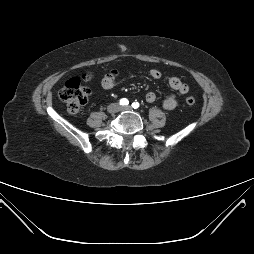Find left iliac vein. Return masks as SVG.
<instances>
[{
    "mask_svg": "<svg viewBox=\"0 0 254 254\" xmlns=\"http://www.w3.org/2000/svg\"><path fill=\"white\" fill-rule=\"evenodd\" d=\"M121 111H127V110H131V106H124V107H120Z\"/></svg>",
    "mask_w": 254,
    "mask_h": 254,
    "instance_id": "1",
    "label": "left iliac vein"
}]
</instances>
